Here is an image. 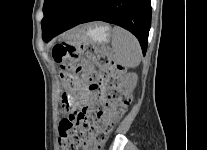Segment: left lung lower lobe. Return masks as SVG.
I'll use <instances>...</instances> for the list:
<instances>
[{"mask_svg":"<svg viewBox=\"0 0 207 150\" xmlns=\"http://www.w3.org/2000/svg\"><path fill=\"white\" fill-rule=\"evenodd\" d=\"M97 20L133 33L145 55L151 25L150 0H73L51 30L42 34L43 40L48 42L76 25Z\"/></svg>","mask_w":207,"mask_h":150,"instance_id":"1","label":"left lung lower lobe"}]
</instances>
